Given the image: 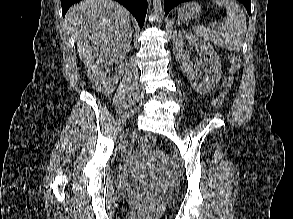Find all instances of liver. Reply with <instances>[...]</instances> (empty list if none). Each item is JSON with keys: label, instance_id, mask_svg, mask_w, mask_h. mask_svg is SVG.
Returning a JSON list of instances; mask_svg holds the SVG:
<instances>
[{"label": "liver", "instance_id": "1", "mask_svg": "<svg viewBox=\"0 0 293 219\" xmlns=\"http://www.w3.org/2000/svg\"><path fill=\"white\" fill-rule=\"evenodd\" d=\"M65 21L85 66H90L96 57H118L130 50L132 27L129 12L117 2L81 1L70 7Z\"/></svg>", "mask_w": 293, "mask_h": 219}]
</instances>
